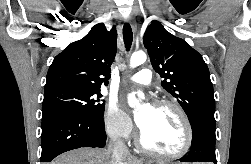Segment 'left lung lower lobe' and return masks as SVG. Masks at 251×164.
<instances>
[{"mask_svg": "<svg viewBox=\"0 0 251 164\" xmlns=\"http://www.w3.org/2000/svg\"><path fill=\"white\" fill-rule=\"evenodd\" d=\"M192 144L187 157L181 162H213L215 155V122L200 120L192 127Z\"/></svg>", "mask_w": 251, "mask_h": 164, "instance_id": "obj_1", "label": "left lung lower lobe"}]
</instances>
